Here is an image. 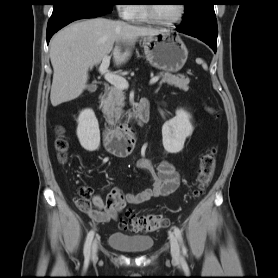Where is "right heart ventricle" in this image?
<instances>
[{
    "label": "right heart ventricle",
    "mask_w": 278,
    "mask_h": 278,
    "mask_svg": "<svg viewBox=\"0 0 278 278\" xmlns=\"http://www.w3.org/2000/svg\"><path fill=\"white\" fill-rule=\"evenodd\" d=\"M132 20H134L136 22H140V23L149 21L144 5H136Z\"/></svg>",
    "instance_id": "obj_1"
}]
</instances>
